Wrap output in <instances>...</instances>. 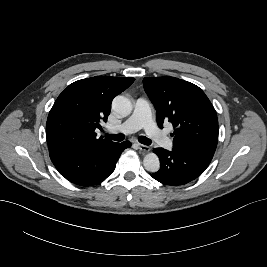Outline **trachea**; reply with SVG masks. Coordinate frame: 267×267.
<instances>
[{"label":"trachea","mask_w":267,"mask_h":267,"mask_svg":"<svg viewBox=\"0 0 267 267\" xmlns=\"http://www.w3.org/2000/svg\"><path fill=\"white\" fill-rule=\"evenodd\" d=\"M106 136H108L110 139L114 140V141H123L125 136L123 134H115V135H112V134H106ZM139 142L144 144V145H150L152 142L149 138L145 137V136H140L138 138Z\"/></svg>","instance_id":"3493384b"}]
</instances>
